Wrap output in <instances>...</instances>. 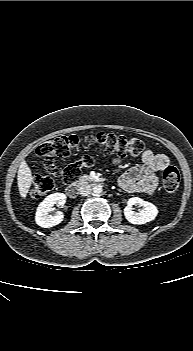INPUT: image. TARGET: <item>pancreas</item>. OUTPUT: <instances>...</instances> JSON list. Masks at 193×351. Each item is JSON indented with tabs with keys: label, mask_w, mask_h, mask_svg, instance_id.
<instances>
[{
	"label": "pancreas",
	"mask_w": 193,
	"mask_h": 351,
	"mask_svg": "<svg viewBox=\"0 0 193 351\" xmlns=\"http://www.w3.org/2000/svg\"><path fill=\"white\" fill-rule=\"evenodd\" d=\"M89 179V176L88 175H84L81 177V180H88Z\"/></svg>",
	"instance_id": "cf45deb5"
}]
</instances>
